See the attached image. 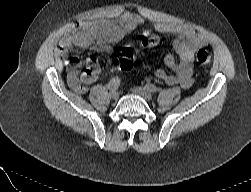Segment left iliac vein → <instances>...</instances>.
I'll list each match as a JSON object with an SVG mask.
<instances>
[{"mask_svg":"<svg viewBox=\"0 0 251 192\" xmlns=\"http://www.w3.org/2000/svg\"><path fill=\"white\" fill-rule=\"evenodd\" d=\"M132 92L136 95H139L140 97H142L143 99H145L146 101H150L152 100V94L150 91H148L146 88L144 87H134L132 89Z\"/></svg>","mask_w":251,"mask_h":192,"instance_id":"left-iliac-vein-1","label":"left iliac vein"}]
</instances>
